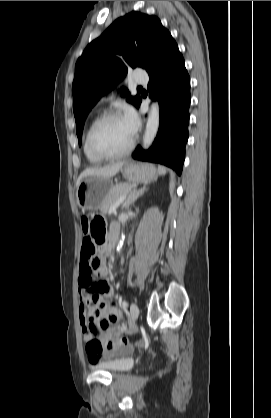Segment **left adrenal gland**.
<instances>
[{
	"mask_svg": "<svg viewBox=\"0 0 271 418\" xmlns=\"http://www.w3.org/2000/svg\"><path fill=\"white\" fill-rule=\"evenodd\" d=\"M147 190L146 185L137 189L134 188L132 192L128 195L127 199L124 202V207L127 209L131 204H133L140 196L144 194Z\"/></svg>",
	"mask_w": 271,
	"mask_h": 418,
	"instance_id": "1",
	"label": "left adrenal gland"
}]
</instances>
